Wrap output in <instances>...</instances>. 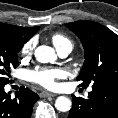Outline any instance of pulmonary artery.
<instances>
[{
	"instance_id": "e3ab8cb5",
	"label": "pulmonary artery",
	"mask_w": 118,
	"mask_h": 118,
	"mask_svg": "<svg viewBox=\"0 0 118 118\" xmlns=\"http://www.w3.org/2000/svg\"><path fill=\"white\" fill-rule=\"evenodd\" d=\"M72 51V47L68 46L66 48L58 50L61 57H66Z\"/></svg>"
}]
</instances>
